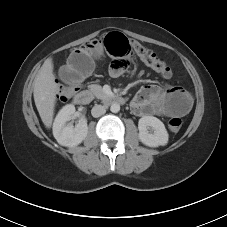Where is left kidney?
Returning a JSON list of instances; mask_svg holds the SVG:
<instances>
[{
    "mask_svg": "<svg viewBox=\"0 0 227 227\" xmlns=\"http://www.w3.org/2000/svg\"><path fill=\"white\" fill-rule=\"evenodd\" d=\"M139 139L149 147L164 146L168 143V132L158 118L143 116L138 122Z\"/></svg>",
    "mask_w": 227,
    "mask_h": 227,
    "instance_id": "1",
    "label": "left kidney"
}]
</instances>
